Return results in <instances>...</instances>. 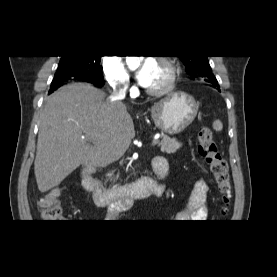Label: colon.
<instances>
[{"label":"colon","mask_w":277,"mask_h":277,"mask_svg":"<svg viewBox=\"0 0 277 277\" xmlns=\"http://www.w3.org/2000/svg\"><path fill=\"white\" fill-rule=\"evenodd\" d=\"M198 153L210 168L221 195L222 211L226 214L232 197V182L229 168L218 149L211 130L207 127H202L198 133ZM59 195V190L55 188L48 191L39 199L38 209L43 222H58L57 220L62 214Z\"/></svg>","instance_id":"obj_1"}]
</instances>
